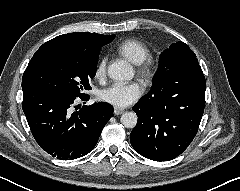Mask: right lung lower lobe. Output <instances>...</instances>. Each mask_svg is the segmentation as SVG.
Returning <instances> with one entry per match:
<instances>
[{
    "mask_svg": "<svg viewBox=\"0 0 240 191\" xmlns=\"http://www.w3.org/2000/svg\"><path fill=\"white\" fill-rule=\"evenodd\" d=\"M76 98L50 89H23L22 108L36 142L60 160L77 159L92 151L113 116L109 104L80 108L74 105ZM79 98L88 100L89 96Z\"/></svg>",
    "mask_w": 240,
    "mask_h": 191,
    "instance_id": "1",
    "label": "right lung lower lobe"
}]
</instances>
